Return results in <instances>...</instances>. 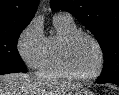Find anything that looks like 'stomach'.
Returning <instances> with one entry per match:
<instances>
[{"instance_id": "stomach-1", "label": "stomach", "mask_w": 119, "mask_h": 95, "mask_svg": "<svg viewBox=\"0 0 119 95\" xmlns=\"http://www.w3.org/2000/svg\"><path fill=\"white\" fill-rule=\"evenodd\" d=\"M66 95H94V94L87 88L78 87L69 91Z\"/></svg>"}]
</instances>
